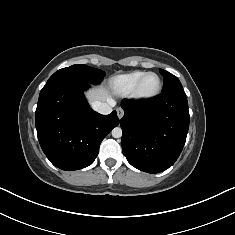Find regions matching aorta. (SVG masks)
I'll return each mask as SVG.
<instances>
[{
    "label": "aorta",
    "instance_id": "762f6f07",
    "mask_svg": "<svg viewBox=\"0 0 235 235\" xmlns=\"http://www.w3.org/2000/svg\"><path fill=\"white\" fill-rule=\"evenodd\" d=\"M111 133L114 138H120L122 136V129L120 127H115Z\"/></svg>",
    "mask_w": 235,
    "mask_h": 235
}]
</instances>
